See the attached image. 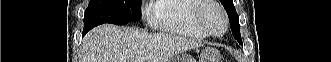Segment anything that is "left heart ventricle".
Masks as SVG:
<instances>
[{
  "mask_svg": "<svg viewBox=\"0 0 331 62\" xmlns=\"http://www.w3.org/2000/svg\"><path fill=\"white\" fill-rule=\"evenodd\" d=\"M205 20L208 26L215 33H221L224 28V23L220 12L214 8L209 9L205 13Z\"/></svg>",
  "mask_w": 331,
  "mask_h": 62,
  "instance_id": "b2bd125f",
  "label": "left heart ventricle"
}]
</instances>
